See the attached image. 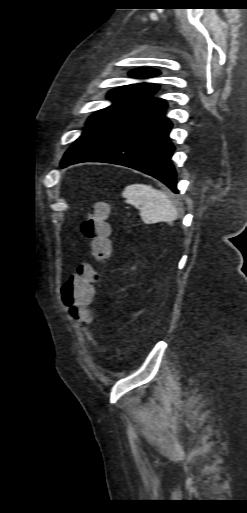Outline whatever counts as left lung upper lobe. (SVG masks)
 Masks as SVG:
<instances>
[{
	"label": "left lung upper lobe",
	"instance_id": "obj_1",
	"mask_svg": "<svg viewBox=\"0 0 247 513\" xmlns=\"http://www.w3.org/2000/svg\"><path fill=\"white\" fill-rule=\"evenodd\" d=\"M159 74L158 71L152 70V69H139L136 71H132L130 73L133 77H149V76H155ZM159 88L158 85L152 84V83H138V84H131L122 86L120 88L112 90L108 94V98L112 100L113 104L97 113L92 115L88 123L93 122L97 118L103 116L104 114L111 112L119 107H122L124 105H127L145 95L148 93L153 92Z\"/></svg>",
	"mask_w": 247,
	"mask_h": 513
}]
</instances>
